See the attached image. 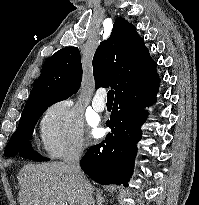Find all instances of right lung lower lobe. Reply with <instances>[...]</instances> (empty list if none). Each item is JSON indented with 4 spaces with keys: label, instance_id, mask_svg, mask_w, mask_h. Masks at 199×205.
<instances>
[{
    "label": "right lung lower lobe",
    "instance_id": "98d812e1",
    "mask_svg": "<svg viewBox=\"0 0 199 205\" xmlns=\"http://www.w3.org/2000/svg\"><path fill=\"white\" fill-rule=\"evenodd\" d=\"M160 79L156 70L133 80L116 94L105 140L90 147L80 161L81 169L99 184L128 186L133 174L141 126L148 116L144 110L155 101Z\"/></svg>",
    "mask_w": 199,
    "mask_h": 205
}]
</instances>
